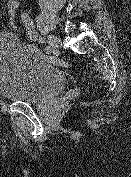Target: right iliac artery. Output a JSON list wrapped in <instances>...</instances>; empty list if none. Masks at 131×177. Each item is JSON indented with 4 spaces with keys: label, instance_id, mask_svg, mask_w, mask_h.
Returning <instances> with one entry per match:
<instances>
[{
    "label": "right iliac artery",
    "instance_id": "obj_1",
    "mask_svg": "<svg viewBox=\"0 0 131 177\" xmlns=\"http://www.w3.org/2000/svg\"><path fill=\"white\" fill-rule=\"evenodd\" d=\"M21 20H22L23 25L26 29V33H27L28 37L31 40L36 41L37 40V33L35 31L33 21L31 19V17L29 16V14L26 12H23L22 16H21ZM44 50L48 54L51 53V51H52L50 46H46Z\"/></svg>",
    "mask_w": 131,
    "mask_h": 177
}]
</instances>
